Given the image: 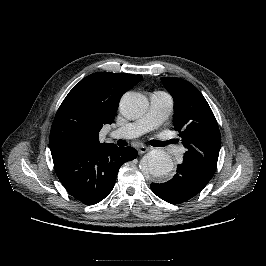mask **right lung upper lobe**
<instances>
[{"mask_svg": "<svg viewBox=\"0 0 266 266\" xmlns=\"http://www.w3.org/2000/svg\"><path fill=\"white\" fill-rule=\"evenodd\" d=\"M141 80L140 75L107 72L82 79L54 118L49 137L52 156L106 145L99 142L101 128L114 121L120 96Z\"/></svg>", "mask_w": 266, "mask_h": 266, "instance_id": "right-lung-upper-lobe-1", "label": "right lung upper lobe"}]
</instances>
